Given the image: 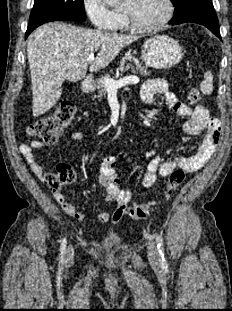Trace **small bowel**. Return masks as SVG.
<instances>
[{
	"mask_svg": "<svg viewBox=\"0 0 232 311\" xmlns=\"http://www.w3.org/2000/svg\"><path fill=\"white\" fill-rule=\"evenodd\" d=\"M158 95L164 98L169 108L177 115L188 118L183 125L184 131L190 135L203 134V140L197 152L190 157L178 156L164 162L161 161L160 157H154L149 162L141 178V184L145 188L153 187L158 176L167 177L175 169L194 172L202 168L214 152L221 134L220 122L217 119L211 118L209 111L204 106L196 105L194 108L189 107L173 92L168 90V83L165 80L152 79L143 84L141 98L145 104H154ZM69 138L72 141H81L84 138V134L80 131H73L69 134ZM43 146L44 143L41 140L34 139L22 144L20 151L34 174L42 182L47 183V174L34 155V150ZM124 157L125 153L121 152L117 155L107 156L102 161L98 182L106 191V202L116 203L117 207L113 212H100L96 216V220L100 223L111 221L113 225H117L125 213L127 204L132 200V192L121 187L120 172L117 167V163ZM53 196L67 215L78 221L83 220L85 213L68 202L61 192L53 191Z\"/></svg>",
	"mask_w": 232,
	"mask_h": 311,
	"instance_id": "1",
	"label": "small bowel"
}]
</instances>
